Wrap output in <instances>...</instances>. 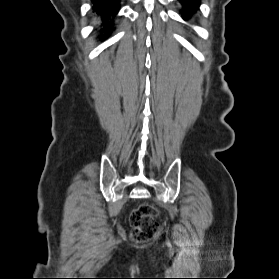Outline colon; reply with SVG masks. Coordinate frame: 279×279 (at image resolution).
<instances>
[{
    "label": "colon",
    "instance_id": "1",
    "mask_svg": "<svg viewBox=\"0 0 279 279\" xmlns=\"http://www.w3.org/2000/svg\"><path fill=\"white\" fill-rule=\"evenodd\" d=\"M158 215V209L149 204L141 205L132 212L130 235L135 243L146 242L157 234L159 230Z\"/></svg>",
    "mask_w": 279,
    "mask_h": 279
}]
</instances>
